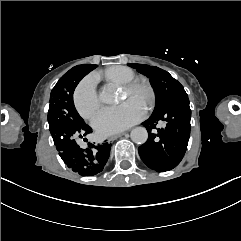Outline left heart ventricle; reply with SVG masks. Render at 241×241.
Wrapping results in <instances>:
<instances>
[{
    "mask_svg": "<svg viewBox=\"0 0 241 241\" xmlns=\"http://www.w3.org/2000/svg\"><path fill=\"white\" fill-rule=\"evenodd\" d=\"M132 98L148 107L153 102L154 94L149 82L145 79L137 82L135 89L132 91Z\"/></svg>",
    "mask_w": 241,
    "mask_h": 241,
    "instance_id": "b2bd125f",
    "label": "left heart ventricle"
}]
</instances>
